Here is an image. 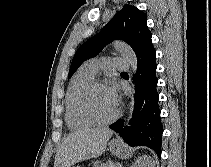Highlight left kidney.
I'll list each match as a JSON object with an SVG mask.
<instances>
[{"mask_svg":"<svg viewBox=\"0 0 211 167\" xmlns=\"http://www.w3.org/2000/svg\"><path fill=\"white\" fill-rule=\"evenodd\" d=\"M131 167H155V162L150 156L139 157Z\"/></svg>","mask_w":211,"mask_h":167,"instance_id":"obj_1","label":"left kidney"}]
</instances>
